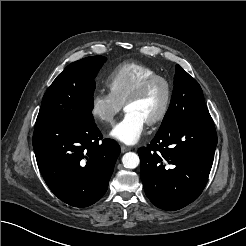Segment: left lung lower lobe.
I'll return each mask as SVG.
<instances>
[{"label":"left lung lower lobe","mask_w":246,"mask_h":246,"mask_svg":"<svg viewBox=\"0 0 246 246\" xmlns=\"http://www.w3.org/2000/svg\"><path fill=\"white\" fill-rule=\"evenodd\" d=\"M217 135L210 114L175 122L140 148L141 179L150 201L174 211L196 200L212 167Z\"/></svg>","instance_id":"1"}]
</instances>
